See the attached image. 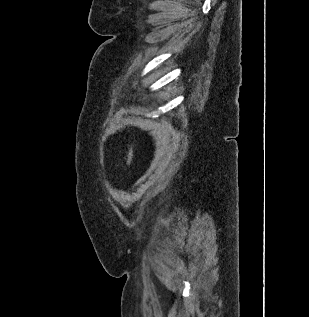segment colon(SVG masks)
Here are the masks:
<instances>
[{
    "instance_id": "obj_1",
    "label": "colon",
    "mask_w": 309,
    "mask_h": 317,
    "mask_svg": "<svg viewBox=\"0 0 309 317\" xmlns=\"http://www.w3.org/2000/svg\"><path fill=\"white\" fill-rule=\"evenodd\" d=\"M133 155H134V146L132 145L130 147L129 153H128V164H130L132 162Z\"/></svg>"
}]
</instances>
